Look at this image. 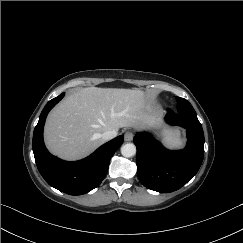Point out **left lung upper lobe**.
I'll list each match as a JSON object with an SVG mask.
<instances>
[{
	"instance_id": "obj_1",
	"label": "left lung upper lobe",
	"mask_w": 243,
	"mask_h": 243,
	"mask_svg": "<svg viewBox=\"0 0 243 243\" xmlns=\"http://www.w3.org/2000/svg\"><path fill=\"white\" fill-rule=\"evenodd\" d=\"M176 100L178 103L176 112L197 117L195 110L193 109L191 104L186 99L176 97Z\"/></svg>"
}]
</instances>
